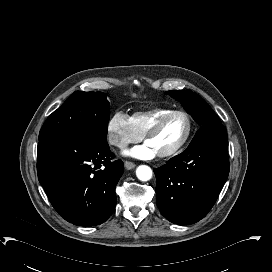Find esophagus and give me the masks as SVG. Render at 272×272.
<instances>
[{
	"label": "esophagus",
	"mask_w": 272,
	"mask_h": 272,
	"mask_svg": "<svg viewBox=\"0 0 272 272\" xmlns=\"http://www.w3.org/2000/svg\"><path fill=\"white\" fill-rule=\"evenodd\" d=\"M124 166L127 170H131L135 167V164L131 161H125Z\"/></svg>",
	"instance_id": "obj_1"
}]
</instances>
